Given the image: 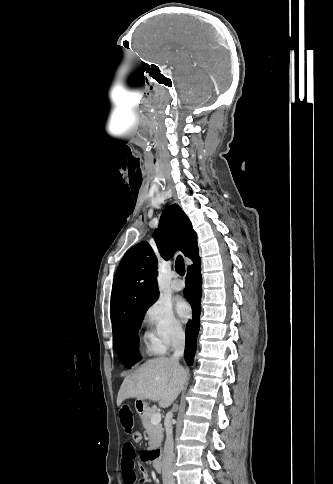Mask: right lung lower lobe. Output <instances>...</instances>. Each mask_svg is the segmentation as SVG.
Segmentation results:
<instances>
[{
  "label": "right lung lower lobe",
  "mask_w": 333,
  "mask_h": 484,
  "mask_svg": "<svg viewBox=\"0 0 333 484\" xmlns=\"http://www.w3.org/2000/svg\"><path fill=\"white\" fill-rule=\"evenodd\" d=\"M200 261L188 267V274L186 277L185 296L190 302L193 309V317L186 327V344H185V359L189 365L193 363L194 354L196 351L197 335L199 332V316L201 309V271Z\"/></svg>",
  "instance_id": "1"
}]
</instances>
